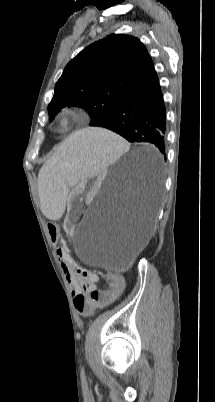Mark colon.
Segmentation results:
<instances>
[{"mask_svg": "<svg viewBox=\"0 0 215 402\" xmlns=\"http://www.w3.org/2000/svg\"><path fill=\"white\" fill-rule=\"evenodd\" d=\"M48 232L51 237L50 245L56 246L60 241L61 232L57 223L51 222L48 224ZM65 263L68 271L79 275L84 279H88L94 275V273L87 271L74 263L70 262L68 258L62 260ZM110 291L91 289L87 296L78 295L74 298L75 308L82 314L88 315L92 313L95 308H104L108 306L114 298H122L124 295L125 281L122 277L113 275L111 277Z\"/></svg>", "mask_w": 215, "mask_h": 402, "instance_id": "obj_1", "label": "colon"}]
</instances>
